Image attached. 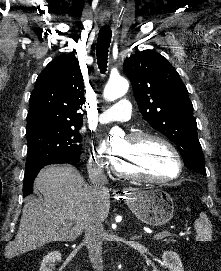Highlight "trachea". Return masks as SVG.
Listing matches in <instances>:
<instances>
[{"mask_svg":"<svg viewBox=\"0 0 221 271\" xmlns=\"http://www.w3.org/2000/svg\"><path fill=\"white\" fill-rule=\"evenodd\" d=\"M111 37L112 32L109 27H103L100 29L96 44V54L97 63L101 73H105L107 68L108 48L111 43Z\"/></svg>","mask_w":221,"mask_h":271,"instance_id":"trachea-1","label":"trachea"}]
</instances>
